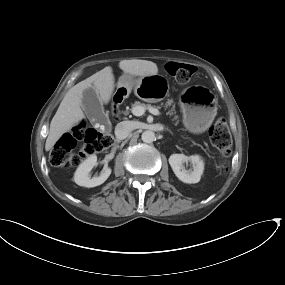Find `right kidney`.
Masks as SVG:
<instances>
[{"mask_svg": "<svg viewBox=\"0 0 285 285\" xmlns=\"http://www.w3.org/2000/svg\"><path fill=\"white\" fill-rule=\"evenodd\" d=\"M97 165V156L91 155L77 168L74 174V181L77 185L83 187H95L103 184L111 174V169L104 166L101 174L97 177H90V171Z\"/></svg>", "mask_w": 285, "mask_h": 285, "instance_id": "obj_1", "label": "right kidney"}]
</instances>
